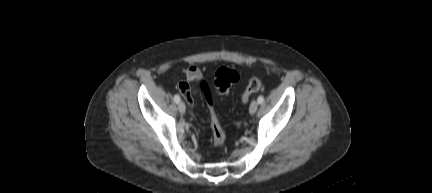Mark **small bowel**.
Wrapping results in <instances>:
<instances>
[{"label":"small bowel","mask_w":432,"mask_h":193,"mask_svg":"<svg viewBox=\"0 0 432 193\" xmlns=\"http://www.w3.org/2000/svg\"><path fill=\"white\" fill-rule=\"evenodd\" d=\"M202 79V73L197 67L193 66L185 71V81L179 84V90L190 105L194 104V100L191 94L189 83L200 82Z\"/></svg>","instance_id":"c3829d8e"}]
</instances>
